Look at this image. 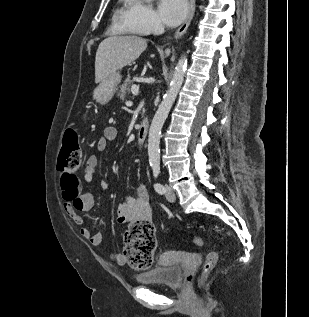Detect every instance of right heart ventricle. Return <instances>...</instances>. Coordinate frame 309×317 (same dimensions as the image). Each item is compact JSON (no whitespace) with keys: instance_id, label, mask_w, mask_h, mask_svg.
Segmentation results:
<instances>
[{"instance_id":"e07e8e85","label":"right heart ventricle","mask_w":309,"mask_h":317,"mask_svg":"<svg viewBox=\"0 0 309 317\" xmlns=\"http://www.w3.org/2000/svg\"><path fill=\"white\" fill-rule=\"evenodd\" d=\"M124 8H121L119 11H118V19L120 21L123 22V13H124ZM124 24V23H123ZM122 29L125 31V32H128V33H132L131 30H129L125 25H123Z\"/></svg>"}]
</instances>
